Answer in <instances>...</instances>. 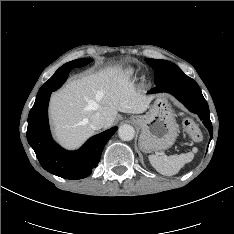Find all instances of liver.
Wrapping results in <instances>:
<instances>
[{
  "mask_svg": "<svg viewBox=\"0 0 234 234\" xmlns=\"http://www.w3.org/2000/svg\"><path fill=\"white\" fill-rule=\"evenodd\" d=\"M151 100L152 96L139 92L118 67L70 81L50 100L54 135L63 146L76 148L94 134L90 124L95 113L105 118L104 127L109 128L118 111L143 113Z\"/></svg>",
  "mask_w": 234,
  "mask_h": 234,
  "instance_id": "6515ba94",
  "label": "liver"
}]
</instances>
